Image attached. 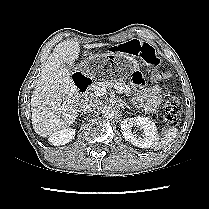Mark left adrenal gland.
Returning <instances> with one entry per match:
<instances>
[{"instance_id": "obj_1", "label": "left adrenal gland", "mask_w": 209, "mask_h": 209, "mask_svg": "<svg viewBox=\"0 0 209 209\" xmlns=\"http://www.w3.org/2000/svg\"><path fill=\"white\" fill-rule=\"evenodd\" d=\"M120 106H121L122 108H124V107L126 106L127 108L130 109V107H129L126 103H124L123 101H121Z\"/></svg>"}]
</instances>
